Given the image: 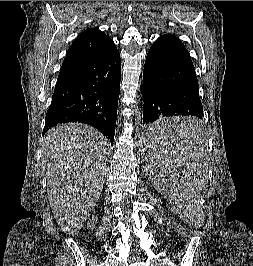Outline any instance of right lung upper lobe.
Here are the masks:
<instances>
[{"label": "right lung upper lobe", "mask_w": 253, "mask_h": 266, "mask_svg": "<svg viewBox=\"0 0 253 266\" xmlns=\"http://www.w3.org/2000/svg\"><path fill=\"white\" fill-rule=\"evenodd\" d=\"M116 49L114 42L98 28L81 32L70 47L60 69V75L97 61Z\"/></svg>", "instance_id": "cb5924a9"}]
</instances>
